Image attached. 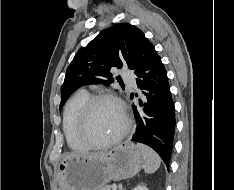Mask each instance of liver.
Segmentation results:
<instances>
[{
	"label": "liver",
	"instance_id": "obj_1",
	"mask_svg": "<svg viewBox=\"0 0 234 190\" xmlns=\"http://www.w3.org/2000/svg\"><path fill=\"white\" fill-rule=\"evenodd\" d=\"M76 156H79V155H77V154H70V155H68L66 157H76Z\"/></svg>",
	"mask_w": 234,
	"mask_h": 190
}]
</instances>
